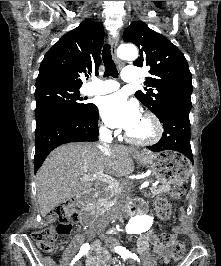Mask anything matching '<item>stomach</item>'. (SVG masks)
Wrapping results in <instances>:
<instances>
[{
  "mask_svg": "<svg viewBox=\"0 0 221 266\" xmlns=\"http://www.w3.org/2000/svg\"><path fill=\"white\" fill-rule=\"evenodd\" d=\"M137 159L140 163L150 166L155 176L165 184L183 183L192 172L190 162L175 152L148 154Z\"/></svg>",
  "mask_w": 221,
  "mask_h": 266,
  "instance_id": "obj_1",
  "label": "stomach"
}]
</instances>
